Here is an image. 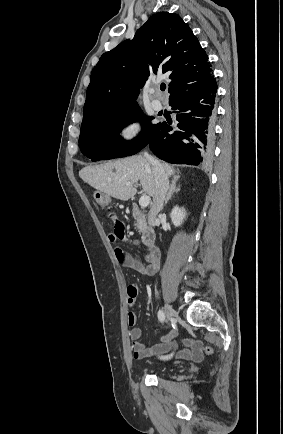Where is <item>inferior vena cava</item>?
<instances>
[{
  "label": "inferior vena cava",
  "mask_w": 283,
  "mask_h": 434,
  "mask_svg": "<svg viewBox=\"0 0 283 434\" xmlns=\"http://www.w3.org/2000/svg\"><path fill=\"white\" fill-rule=\"evenodd\" d=\"M146 159L150 162L155 178V194L153 196L152 207L149 212V222L153 225L157 214L162 210L167 191L169 189L168 177L158 160L153 158L147 152L144 153Z\"/></svg>",
  "instance_id": "1"
}]
</instances>
